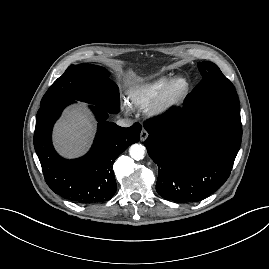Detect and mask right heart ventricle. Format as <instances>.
Returning <instances> with one entry per match:
<instances>
[{
    "label": "right heart ventricle",
    "instance_id": "obj_1",
    "mask_svg": "<svg viewBox=\"0 0 269 269\" xmlns=\"http://www.w3.org/2000/svg\"><path fill=\"white\" fill-rule=\"evenodd\" d=\"M169 80L170 76L168 75L158 76L130 87L127 91V101L129 105L136 108H146L150 106Z\"/></svg>",
    "mask_w": 269,
    "mask_h": 269
}]
</instances>
